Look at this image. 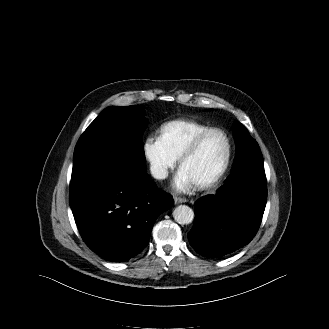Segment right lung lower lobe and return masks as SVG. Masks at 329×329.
<instances>
[{"mask_svg":"<svg viewBox=\"0 0 329 329\" xmlns=\"http://www.w3.org/2000/svg\"><path fill=\"white\" fill-rule=\"evenodd\" d=\"M69 199L84 242L111 262L140 253L157 217L173 206L146 172L128 176L109 168L71 178Z\"/></svg>","mask_w":329,"mask_h":329,"instance_id":"98d812e1","label":"right lung lower lobe"}]
</instances>
